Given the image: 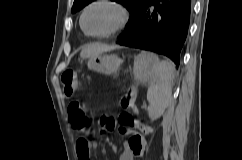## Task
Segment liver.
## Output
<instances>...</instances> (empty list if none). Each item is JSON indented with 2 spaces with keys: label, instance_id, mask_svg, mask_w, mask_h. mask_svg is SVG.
<instances>
[{
  "label": "liver",
  "instance_id": "obj_1",
  "mask_svg": "<svg viewBox=\"0 0 242 160\" xmlns=\"http://www.w3.org/2000/svg\"><path fill=\"white\" fill-rule=\"evenodd\" d=\"M120 46L118 45H106V44H92L89 45L87 47H85L81 53H80V57L83 59L86 58H95L99 55H101L102 53L105 52H109L112 50H115L117 48H119Z\"/></svg>",
  "mask_w": 242,
  "mask_h": 160
}]
</instances>
